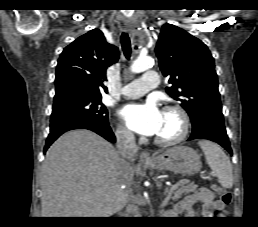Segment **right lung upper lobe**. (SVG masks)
<instances>
[{"label": "right lung upper lobe", "mask_w": 258, "mask_h": 227, "mask_svg": "<svg viewBox=\"0 0 258 227\" xmlns=\"http://www.w3.org/2000/svg\"><path fill=\"white\" fill-rule=\"evenodd\" d=\"M119 59L118 48L109 44L99 29L80 36L61 53L56 69V94L81 91L101 95L106 70Z\"/></svg>", "instance_id": "1"}]
</instances>
